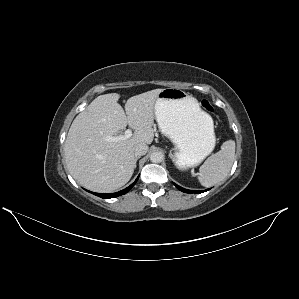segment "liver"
<instances>
[{
	"label": "liver",
	"instance_id": "6515ba94",
	"mask_svg": "<svg viewBox=\"0 0 299 299\" xmlns=\"http://www.w3.org/2000/svg\"><path fill=\"white\" fill-rule=\"evenodd\" d=\"M162 90L129 98L125 111L118 104L119 94L100 95L76 116L64 144V157L78 183L95 192L110 193L130 180L134 172V148L153 141L155 103ZM127 125L135 130L132 137L120 142L105 140Z\"/></svg>",
	"mask_w": 299,
	"mask_h": 299
}]
</instances>
